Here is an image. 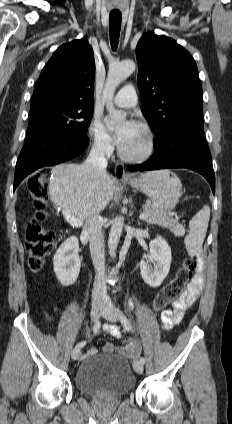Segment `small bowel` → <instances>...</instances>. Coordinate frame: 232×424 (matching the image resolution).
Instances as JSON below:
<instances>
[{"instance_id":"obj_1","label":"small bowel","mask_w":232,"mask_h":424,"mask_svg":"<svg viewBox=\"0 0 232 424\" xmlns=\"http://www.w3.org/2000/svg\"><path fill=\"white\" fill-rule=\"evenodd\" d=\"M199 262V268L197 273L194 275V278L190 282L187 290L184 292V294L173 304V309L164 310L160 314L161 319V325L164 329H171L172 327L179 324L183 318V315L185 311L192 305V303L198 298L200 294V289L203 284V276L201 273V258H198ZM103 332L114 336V337H120V329L117 325L114 324H105L103 326ZM82 334L85 337H91L94 336L96 333L90 332V331H82ZM133 341V340H132ZM134 342L133 348H128L127 345H121L117 346L111 342L106 343L103 346V351L106 353H112L115 351H119L123 355H126L131 358H136L139 354V345L138 343ZM98 353V349L95 347H91L87 354L90 356L96 355Z\"/></svg>"}]
</instances>
